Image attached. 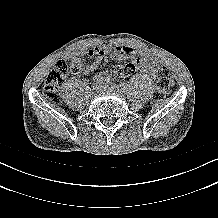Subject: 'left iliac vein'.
Here are the masks:
<instances>
[{
    "label": "left iliac vein",
    "mask_w": 218,
    "mask_h": 218,
    "mask_svg": "<svg viewBox=\"0 0 218 218\" xmlns=\"http://www.w3.org/2000/svg\"><path fill=\"white\" fill-rule=\"evenodd\" d=\"M100 91H108V92H115V93H119V89L117 86H113V85H109V84H106V85H103L101 87V90Z\"/></svg>",
    "instance_id": "left-iliac-vein-1"
}]
</instances>
